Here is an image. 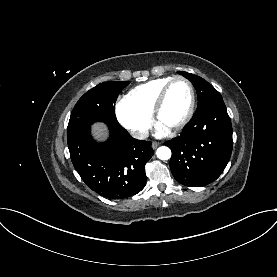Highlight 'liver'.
I'll use <instances>...</instances> for the list:
<instances>
[{
  "mask_svg": "<svg viewBox=\"0 0 277 277\" xmlns=\"http://www.w3.org/2000/svg\"><path fill=\"white\" fill-rule=\"evenodd\" d=\"M93 131H94V134L97 135V137H105L106 135V131L103 124L93 125Z\"/></svg>",
  "mask_w": 277,
  "mask_h": 277,
  "instance_id": "6515ba94",
  "label": "liver"
}]
</instances>
